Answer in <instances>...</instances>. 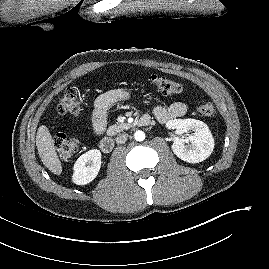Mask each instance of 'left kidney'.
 <instances>
[{"mask_svg": "<svg viewBox=\"0 0 269 269\" xmlns=\"http://www.w3.org/2000/svg\"><path fill=\"white\" fill-rule=\"evenodd\" d=\"M169 129H176L178 134L187 137H175L172 144L174 154L188 163H199L207 159L214 149V139L208 126L195 119H174L166 124ZM193 134H187L189 131ZM185 143H188L186 145Z\"/></svg>", "mask_w": 269, "mask_h": 269, "instance_id": "left-kidney-1", "label": "left kidney"}]
</instances>
